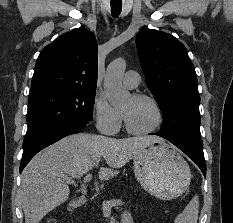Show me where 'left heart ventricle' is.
<instances>
[{"mask_svg": "<svg viewBox=\"0 0 233 223\" xmlns=\"http://www.w3.org/2000/svg\"><path fill=\"white\" fill-rule=\"evenodd\" d=\"M119 110L125 117L128 125L135 131H149L158 123V115L154 106L146 100L130 97L122 104Z\"/></svg>", "mask_w": 233, "mask_h": 223, "instance_id": "left-heart-ventricle-1", "label": "left heart ventricle"}]
</instances>
